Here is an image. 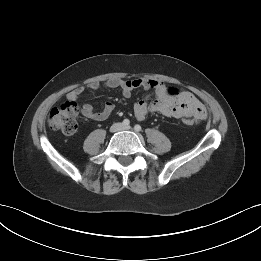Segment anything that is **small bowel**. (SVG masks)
Here are the masks:
<instances>
[{
	"mask_svg": "<svg viewBox=\"0 0 261 261\" xmlns=\"http://www.w3.org/2000/svg\"><path fill=\"white\" fill-rule=\"evenodd\" d=\"M102 85L111 89L119 88L126 98H129L133 90L137 88L148 90L150 95H154L156 99L151 103L145 98L134 104L135 117L140 121L144 120L149 113H159L177 119L190 118L193 122L201 121L207 115L204 105L194 94L186 90H180L176 95H171L169 87L155 79L111 78ZM100 87V82L94 81L88 84V88L94 91ZM83 91V87H78L67 94V99L76 103ZM114 109L115 105L112 102H107L101 111H95L93 106L88 103L83 104L80 110L82 115L88 119L103 121L111 115Z\"/></svg>",
	"mask_w": 261,
	"mask_h": 261,
	"instance_id": "obj_1",
	"label": "small bowel"
}]
</instances>
